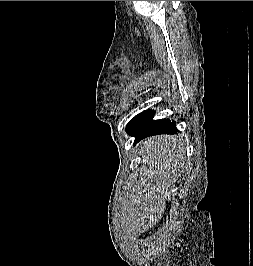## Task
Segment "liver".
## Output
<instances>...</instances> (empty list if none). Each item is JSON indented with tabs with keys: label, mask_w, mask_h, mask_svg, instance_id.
I'll return each mask as SVG.
<instances>
[{
	"label": "liver",
	"mask_w": 253,
	"mask_h": 266,
	"mask_svg": "<svg viewBox=\"0 0 253 266\" xmlns=\"http://www.w3.org/2000/svg\"><path fill=\"white\" fill-rule=\"evenodd\" d=\"M140 145L144 147L143 177L122 201L121 220L127 234L143 233L162 218L167 189L177 177L185 151L171 135L148 138Z\"/></svg>",
	"instance_id": "liver-1"
}]
</instances>
